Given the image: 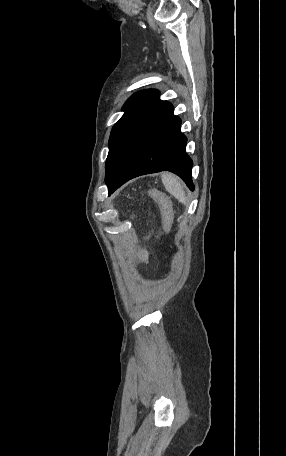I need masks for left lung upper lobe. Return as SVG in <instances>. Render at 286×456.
I'll list each match as a JSON object with an SVG mask.
<instances>
[{
  "instance_id": "1",
  "label": "left lung upper lobe",
  "mask_w": 286,
  "mask_h": 456,
  "mask_svg": "<svg viewBox=\"0 0 286 456\" xmlns=\"http://www.w3.org/2000/svg\"><path fill=\"white\" fill-rule=\"evenodd\" d=\"M171 106L159 99L157 90H142L124 104V114L114 125L109 138L105 181L109 186L122 159L138 135Z\"/></svg>"
}]
</instances>
